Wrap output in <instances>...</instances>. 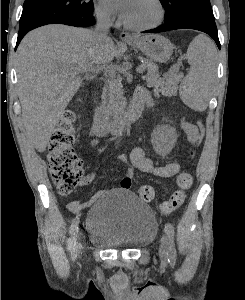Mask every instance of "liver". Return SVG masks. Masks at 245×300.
<instances>
[{"mask_svg":"<svg viewBox=\"0 0 245 300\" xmlns=\"http://www.w3.org/2000/svg\"><path fill=\"white\" fill-rule=\"evenodd\" d=\"M116 48L109 38L99 44L94 31L51 24L29 32L17 49L19 99L26 132L44 152L53 130L82 85L80 73L100 71Z\"/></svg>","mask_w":245,"mask_h":300,"instance_id":"liver-1","label":"liver"}]
</instances>
